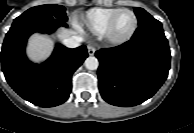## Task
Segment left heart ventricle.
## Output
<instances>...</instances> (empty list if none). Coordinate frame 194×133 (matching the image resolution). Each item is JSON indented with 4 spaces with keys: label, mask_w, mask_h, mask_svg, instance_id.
Here are the masks:
<instances>
[{
    "label": "left heart ventricle",
    "mask_w": 194,
    "mask_h": 133,
    "mask_svg": "<svg viewBox=\"0 0 194 133\" xmlns=\"http://www.w3.org/2000/svg\"><path fill=\"white\" fill-rule=\"evenodd\" d=\"M133 24L134 18L132 14L123 12L117 17L112 28V34L118 38L124 37L131 31Z\"/></svg>",
    "instance_id": "b2bd125f"
}]
</instances>
